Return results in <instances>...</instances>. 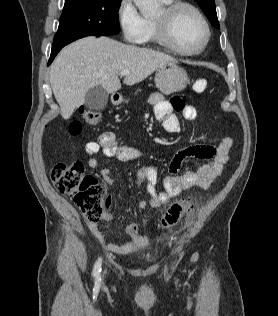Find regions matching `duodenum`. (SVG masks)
<instances>
[{"label":"duodenum","instance_id":"obj_1","mask_svg":"<svg viewBox=\"0 0 278 316\" xmlns=\"http://www.w3.org/2000/svg\"><path fill=\"white\" fill-rule=\"evenodd\" d=\"M120 101H121V96L120 95L115 94V95L112 96V103L113 104H118V103H120Z\"/></svg>","mask_w":278,"mask_h":316}]
</instances>
